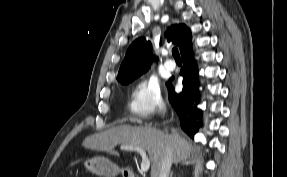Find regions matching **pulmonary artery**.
I'll use <instances>...</instances> for the list:
<instances>
[{
    "mask_svg": "<svg viewBox=\"0 0 287 177\" xmlns=\"http://www.w3.org/2000/svg\"><path fill=\"white\" fill-rule=\"evenodd\" d=\"M176 67V64L172 61V60H168L166 61L165 63V68L168 70V71H173Z\"/></svg>",
    "mask_w": 287,
    "mask_h": 177,
    "instance_id": "obj_1",
    "label": "pulmonary artery"
}]
</instances>
